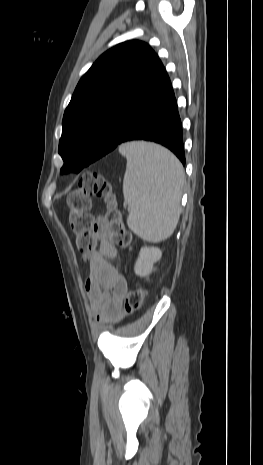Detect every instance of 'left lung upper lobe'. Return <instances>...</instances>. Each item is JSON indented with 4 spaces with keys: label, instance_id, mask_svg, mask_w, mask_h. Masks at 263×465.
<instances>
[{
    "label": "left lung upper lobe",
    "instance_id": "5c2ea615",
    "mask_svg": "<svg viewBox=\"0 0 263 465\" xmlns=\"http://www.w3.org/2000/svg\"><path fill=\"white\" fill-rule=\"evenodd\" d=\"M141 41L121 43L102 54L80 79L62 122L58 152L91 159L98 152L121 106L132 101L158 60Z\"/></svg>",
    "mask_w": 263,
    "mask_h": 465
}]
</instances>
